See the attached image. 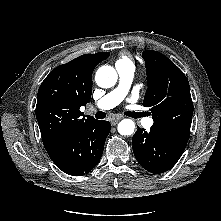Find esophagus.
Wrapping results in <instances>:
<instances>
[{"label": "esophagus", "mask_w": 221, "mask_h": 221, "mask_svg": "<svg viewBox=\"0 0 221 221\" xmlns=\"http://www.w3.org/2000/svg\"><path fill=\"white\" fill-rule=\"evenodd\" d=\"M120 117H114L111 119V124L114 126L120 121Z\"/></svg>", "instance_id": "obj_1"}]
</instances>
